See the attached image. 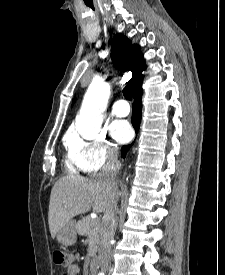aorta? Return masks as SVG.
I'll return each mask as SVG.
<instances>
[{
  "instance_id": "762f6f07",
  "label": "aorta",
  "mask_w": 225,
  "mask_h": 275,
  "mask_svg": "<svg viewBox=\"0 0 225 275\" xmlns=\"http://www.w3.org/2000/svg\"><path fill=\"white\" fill-rule=\"evenodd\" d=\"M110 96V85L101 79H94L84 96L75 126L85 139L97 136L102 125V114L106 110Z\"/></svg>"
}]
</instances>
